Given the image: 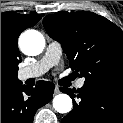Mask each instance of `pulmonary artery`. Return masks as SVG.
Wrapping results in <instances>:
<instances>
[{
    "label": "pulmonary artery",
    "mask_w": 123,
    "mask_h": 123,
    "mask_svg": "<svg viewBox=\"0 0 123 123\" xmlns=\"http://www.w3.org/2000/svg\"><path fill=\"white\" fill-rule=\"evenodd\" d=\"M62 54V47L57 41H51L45 50L43 57L34 64L21 69L18 73L20 80L36 78L46 73L50 68L57 65ZM84 79L76 82L78 88H82Z\"/></svg>",
    "instance_id": "pulmonary-artery-1"
}]
</instances>
